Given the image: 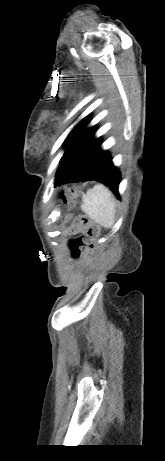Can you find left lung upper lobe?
I'll return each instance as SVG.
<instances>
[{
	"label": "left lung upper lobe",
	"instance_id": "left-lung-upper-lobe-1",
	"mask_svg": "<svg viewBox=\"0 0 165 461\" xmlns=\"http://www.w3.org/2000/svg\"><path fill=\"white\" fill-rule=\"evenodd\" d=\"M90 121V115L82 119L70 132L68 137L65 140V146L67 147L62 159L64 156L75 146V144L88 132L92 129V127L86 129ZM61 159V160H62Z\"/></svg>",
	"mask_w": 165,
	"mask_h": 461
}]
</instances>
